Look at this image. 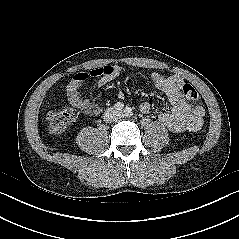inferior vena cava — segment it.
Instances as JSON below:
<instances>
[{
  "label": "inferior vena cava",
  "mask_w": 239,
  "mask_h": 239,
  "mask_svg": "<svg viewBox=\"0 0 239 239\" xmlns=\"http://www.w3.org/2000/svg\"><path fill=\"white\" fill-rule=\"evenodd\" d=\"M120 117V112L114 108H109L104 113V121L107 123L116 121Z\"/></svg>",
  "instance_id": "602c4592"
}]
</instances>
